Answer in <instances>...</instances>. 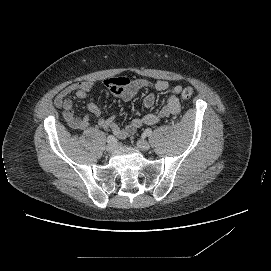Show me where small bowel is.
Here are the masks:
<instances>
[{"label":"small bowel","instance_id":"c3829d8e","mask_svg":"<svg viewBox=\"0 0 271 271\" xmlns=\"http://www.w3.org/2000/svg\"><path fill=\"white\" fill-rule=\"evenodd\" d=\"M104 85L116 97L124 101H129L133 96L142 89L155 91H168L170 93L162 109L157 113H147L142 117L134 118L125 126H120L115 122V115L102 117V110L94 102L88 103V111L98 117V124L106 129L111 130L117 137L124 138L133 134L143 125H155L163 118L177 115L181 111V104L178 95L182 92V86L170 85L165 80H158L154 83L146 80H130L126 77L110 78L104 81ZM94 87V83L89 81L76 82L64 88L54 99L56 107L62 110V115L69 127L75 130H85L88 128L90 119L88 115L79 117L73 109V102L69 98L70 95H75L78 98H86L88 93ZM155 103V95L149 93L145 96L143 104L146 108L153 107Z\"/></svg>","mask_w":271,"mask_h":271}]
</instances>
